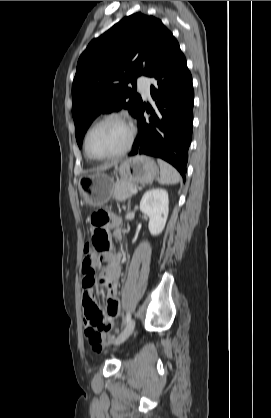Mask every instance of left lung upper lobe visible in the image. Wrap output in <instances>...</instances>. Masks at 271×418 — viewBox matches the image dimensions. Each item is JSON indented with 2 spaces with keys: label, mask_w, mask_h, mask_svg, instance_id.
<instances>
[{
  "label": "left lung upper lobe",
  "mask_w": 271,
  "mask_h": 418,
  "mask_svg": "<svg viewBox=\"0 0 271 418\" xmlns=\"http://www.w3.org/2000/svg\"><path fill=\"white\" fill-rule=\"evenodd\" d=\"M172 38L159 19L139 12L89 43L78 60L72 85V115L80 148L100 113L125 108L136 115L142 99L128 83L153 73Z\"/></svg>",
  "instance_id": "5c2ea615"
}]
</instances>
